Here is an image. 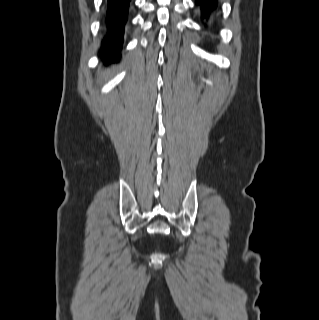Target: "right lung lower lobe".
Masks as SVG:
<instances>
[{
  "instance_id": "98d812e1",
  "label": "right lung lower lobe",
  "mask_w": 319,
  "mask_h": 320,
  "mask_svg": "<svg viewBox=\"0 0 319 320\" xmlns=\"http://www.w3.org/2000/svg\"><path fill=\"white\" fill-rule=\"evenodd\" d=\"M105 24L107 32L102 41L101 55L106 64L117 62L123 47L125 19L130 0H107Z\"/></svg>"
}]
</instances>
